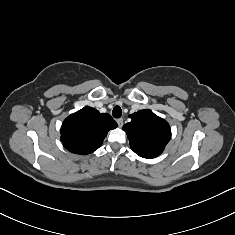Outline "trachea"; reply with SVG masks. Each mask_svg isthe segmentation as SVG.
Here are the masks:
<instances>
[{"instance_id": "obj_1", "label": "trachea", "mask_w": 235, "mask_h": 235, "mask_svg": "<svg viewBox=\"0 0 235 235\" xmlns=\"http://www.w3.org/2000/svg\"><path fill=\"white\" fill-rule=\"evenodd\" d=\"M112 115L114 118H120L122 115V109L120 108V106H115L113 111H112Z\"/></svg>"}]
</instances>
